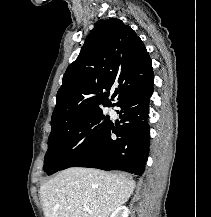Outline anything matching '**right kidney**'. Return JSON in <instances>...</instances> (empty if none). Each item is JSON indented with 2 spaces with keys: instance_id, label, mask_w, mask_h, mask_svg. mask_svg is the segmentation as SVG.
I'll use <instances>...</instances> for the list:
<instances>
[{
  "instance_id": "obj_1",
  "label": "right kidney",
  "mask_w": 211,
  "mask_h": 217,
  "mask_svg": "<svg viewBox=\"0 0 211 217\" xmlns=\"http://www.w3.org/2000/svg\"><path fill=\"white\" fill-rule=\"evenodd\" d=\"M130 211L126 206L118 207L110 217H128Z\"/></svg>"
}]
</instances>
